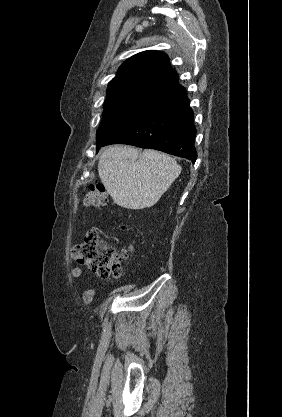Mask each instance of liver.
<instances>
[{
  "label": "liver",
  "mask_w": 282,
  "mask_h": 417,
  "mask_svg": "<svg viewBox=\"0 0 282 417\" xmlns=\"http://www.w3.org/2000/svg\"><path fill=\"white\" fill-rule=\"evenodd\" d=\"M181 170L182 166L165 152L145 148L139 154V148L126 144L108 146L98 162L101 182L124 209L153 206Z\"/></svg>",
  "instance_id": "liver-1"
}]
</instances>
